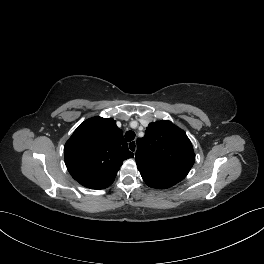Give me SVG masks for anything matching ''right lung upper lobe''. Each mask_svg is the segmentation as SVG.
<instances>
[{
    "mask_svg": "<svg viewBox=\"0 0 264 264\" xmlns=\"http://www.w3.org/2000/svg\"><path fill=\"white\" fill-rule=\"evenodd\" d=\"M65 164L81 185H111L124 160L133 158L123 132L112 118L94 117L81 123L64 147Z\"/></svg>",
    "mask_w": 264,
    "mask_h": 264,
    "instance_id": "obj_1",
    "label": "right lung upper lobe"
}]
</instances>
